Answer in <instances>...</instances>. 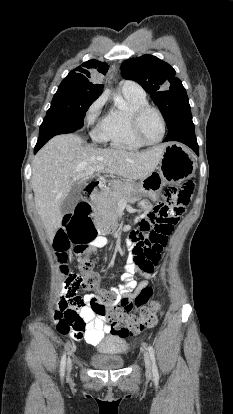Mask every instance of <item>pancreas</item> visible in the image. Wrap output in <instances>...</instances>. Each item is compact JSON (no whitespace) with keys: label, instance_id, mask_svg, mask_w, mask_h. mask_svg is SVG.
Returning a JSON list of instances; mask_svg holds the SVG:
<instances>
[{"label":"pancreas","instance_id":"pancreas-1","mask_svg":"<svg viewBox=\"0 0 233 414\" xmlns=\"http://www.w3.org/2000/svg\"><path fill=\"white\" fill-rule=\"evenodd\" d=\"M129 180L120 179L117 181L114 190H103L98 198L100 204V214L107 218H115L117 214V206L126 194L125 187L129 184Z\"/></svg>","mask_w":233,"mask_h":414}]
</instances>
